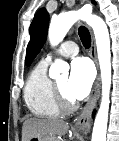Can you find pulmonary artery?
I'll return each mask as SVG.
<instances>
[{
  "label": "pulmonary artery",
  "instance_id": "obj_1",
  "mask_svg": "<svg viewBox=\"0 0 119 141\" xmlns=\"http://www.w3.org/2000/svg\"><path fill=\"white\" fill-rule=\"evenodd\" d=\"M78 52H79L78 45L74 41L68 40L63 42L57 49L50 52L43 60L50 62L55 57L74 56Z\"/></svg>",
  "mask_w": 119,
  "mask_h": 141
}]
</instances>
